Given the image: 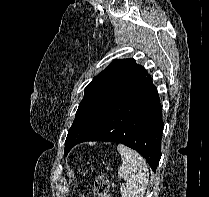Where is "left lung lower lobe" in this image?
Listing matches in <instances>:
<instances>
[{
  "mask_svg": "<svg viewBox=\"0 0 209 197\" xmlns=\"http://www.w3.org/2000/svg\"><path fill=\"white\" fill-rule=\"evenodd\" d=\"M163 121L157 88L148 74L117 98L76 143L105 141L138 151L156 171Z\"/></svg>",
  "mask_w": 209,
  "mask_h": 197,
  "instance_id": "obj_1",
  "label": "left lung lower lobe"
}]
</instances>
